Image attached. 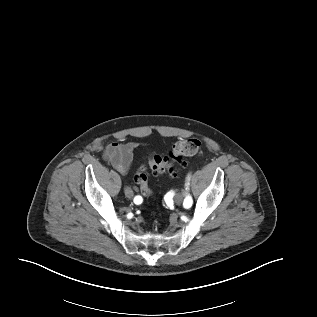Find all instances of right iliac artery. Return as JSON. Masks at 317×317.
Listing matches in <instances>:
<instances>
[{
  "mask_svg": "<svg viewBox=\"0 0 317 317\" xmlns=\"http://www.w3.org/2000/svg\"><path fill=\"white\" fill-rule=\"evenodd\" d=\"M142 201H143V199H142L141 196H136V197L134 198V203L137 204V205L141 204Z\"/></svg>",
  "mask_w": 317,
  "mask_h": 317,
  "instance_id": "obj_1",
  "label": "right iliac artery"
}]
</instances>
